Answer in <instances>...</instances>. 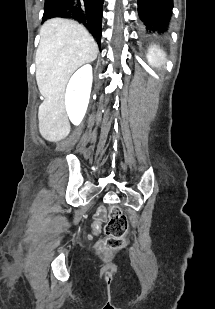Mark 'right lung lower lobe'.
Returning a JSON list of instances; mask_svg holds the SVG:
<instances>
[{
	"label": "right lung lower lobe",
	"mask_w": 215,
	"mask_h": 309,
	"mask_svg": "<svg viewBox=\"0 0 215 309\" xmlns=\"http://www.w3.org/2000/svg\"><path fill=\"white\" fill-rule=\"evenodd\" d=\"M104 0H45L42 23L61 17L82 23L101 45V22Z\"/></svg>",
	"instance_id": "1"
}]
</instances>
